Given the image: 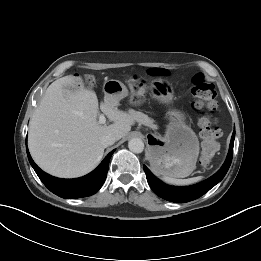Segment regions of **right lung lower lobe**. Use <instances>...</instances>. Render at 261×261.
Masks as SVG:
<instances>
[{
    "mask_svg": "<svg viewBox=\"0 0 261 261\" xmlns=\"http://www.w3.org/2000/svg\"><path fill=\"white\" fill-rule=\"evenodd\" d=\"M26 150L29 162L43 184L54 194L66 199L82 198L95 194L106 179L109 161L114 152H110L90 174L76 179H60L42 171L32 160L27 146Z\"/></svg>",
    "mask_w": 261,
    "mask_h": 261,
    "instance_id": "right-lung-lower-lobe-1",
    "label": "right lung lower lobe"
}]
</instances>
